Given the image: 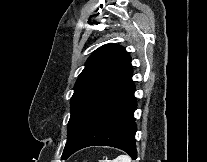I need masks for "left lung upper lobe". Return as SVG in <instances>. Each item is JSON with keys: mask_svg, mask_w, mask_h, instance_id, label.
Listing matches in <instances>:
<instances>
[{"mask_svg": "<svg viewBox=\"0 0 207 162\" xmlns=\"http://www.w3.org/2000/svg\"><path fill=\"white\" fill-rule=\"evenodd\" d=\"M132 73L131 57L122 46L109 43L92 53L74 86L63 154L97 108L119 90L132 77Z\"/></svg>", "mask_w": 207, "mask_h": 162, "instance_id": "1", "label": "left lung upper lobe"}]
</instances>
